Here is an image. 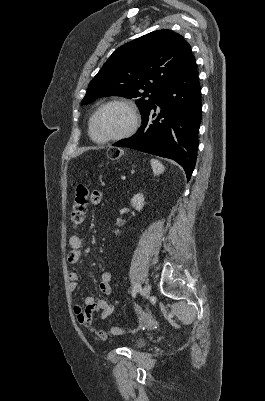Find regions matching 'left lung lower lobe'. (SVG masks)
Returning <instances> with one entry per match:
<instances>
[{
    "instance_id": "obj_1",
    "label": "left lung lower lobe",
    "mask_w": 265,
    "mask_h": 401,
    "mask_svg": "<svg viewBox=\"0 0 265 401\" xmlns=\"http://www.w3.org/2000/svg\"><path fill=\"white\" fill-rule=\"evenodd\" d=\"M156 104L161 108L157 118ZM201 87L195 58L159 94L142 115V126L114 146L129 147L178 162L189 180L195 167L202 114Z\"/></svg>"
}]
</instances>
